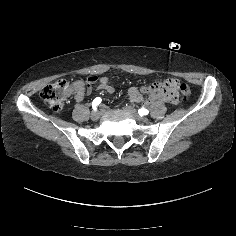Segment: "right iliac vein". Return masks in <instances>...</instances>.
<instances>
[{
  "label": "right iliac vein",
  "instance_id": "63e3f726",
  "mask_svg": "<svg viewBox=\"0 0 236 236\" xmlns=\"http://www.w3.org/2000/svg\"><path fill=\"white\" fill-rule=\"evenodd\" d=\"M100 115H101V112H100V111H93V112L91 113V119L94 120V121H96V120L100 117Z\"/></svg>",
  "mask_w": 236,
  "mask_h": 236
}]
</instances>
